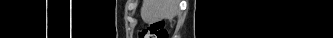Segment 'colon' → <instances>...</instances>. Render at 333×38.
<instances>
[{
	"instance_id": "colon-1",
	"label": "colon",
	"mask_w": 333,
	"mask_h": 38,
	"mask_svg": "<svg viewBox=\"0 0 333 38\" xmlns=\"http://www.w3.org/2000/svg\"><path fill=\"white\" fill-rule=\"evenodd\" d=\"M139 38H168L163 20H155L139 32Z\"/></svg>"
}]
</instances>
